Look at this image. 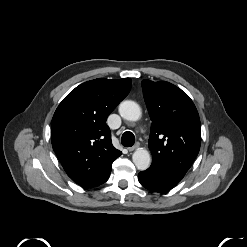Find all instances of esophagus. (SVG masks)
Masks as SVG:
<instances>
[{
    "label": "esophagus",
    "mask_w": 247,
    "mask_h": 247,
    "mask_svg": "<svg viewBox=\"0 0 247 247\" xmlns=\"http://www.w3.org/2000/svg\"><path fill=\"white\" fill-rule=\"evenodd\" d=\"M140 146L139 143H136L134 146H131L128 148V150L131 152V151H134L135 149H137L138 147Z\"/></svg>",
    "instance_id": "1"
}]
</instances>
